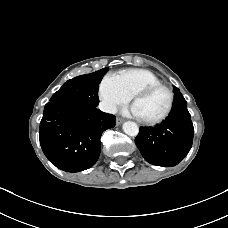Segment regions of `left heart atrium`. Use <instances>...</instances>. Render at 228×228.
<instances>
[{
  "mask_svg": "<svg viewBox=\"0 0 228 228\" xmlns=\"http://www.w3.org/2000/svg\"><path fill=\"white\" fill-rule=\"evenodd\" d=\"M127 112H130L131 114H133V115H135L137 117H140L139 113H138V111H137V109H136V107L134 105Z\"/></svg>",
  "mask_w": 228,
  "mask_h": 228,
  "instance_id": "1",
  "label": "left heart atrium"
}]
</instances>
